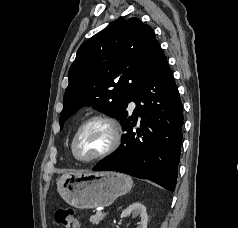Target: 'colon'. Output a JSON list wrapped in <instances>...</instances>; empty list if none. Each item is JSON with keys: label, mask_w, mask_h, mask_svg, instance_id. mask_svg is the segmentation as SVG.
Returning <instances> with one entry per match:
<instances>
[{"label": "colon", "mask_w": 238, "mask_h": 228, "mask_svg": "<svg viewBox=\"0 0 238 228\" xmlns=\"http://www.w3.org/2000/svg\"><path fill=\"white\" fill-rule=\"evenodd\" d=\"M56 222L64 228H78L79 217L71 208L58 209L55 212Z\"/></svg>", "instance_id": "1"}]
</instances>
